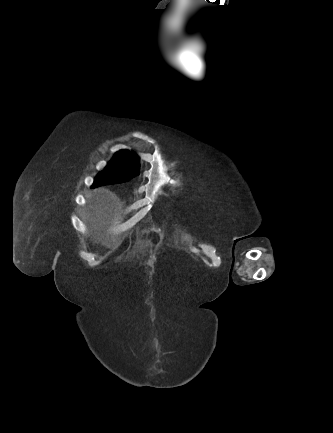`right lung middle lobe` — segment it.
<instances>
[{
  "mask_svg": "<svg viewBox=\"0 0 333 433\" xmlns=\"http://www.w3.org/2000/svg\"><path fill=\"white\" fill-rule=\"evenodd\" d=\"M139 174L138 163L128 159H112L95 178L93 186L129 181Z\"/></svg>",
  "mask_w": 333,
  "mask_h": 433,
  "instance_id": "dd1d6c3e",
  "label": "right lung middle lobe"
}]
</instances>
